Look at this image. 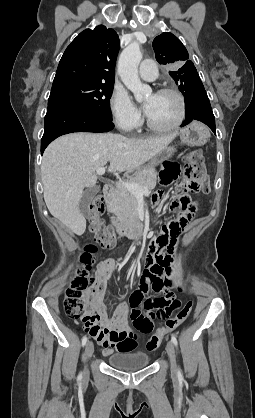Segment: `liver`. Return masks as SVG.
Returning <instances> with one entry per match:
<instances>
[{"label":"liver","mask_w":255,"mask_h":418,"mask_svg":"<svg viewBox=\"0 0 255 418\" xmlns=\"http://www.w3.org/2000/svg\"><path fill=\"white\" fill-rule=\"evenodd\" d=\"M136 139L114 133H72L59 137L45 150L41 165L44 200L49 212L75 234L86 220L79 210L85 188L97 182L96 171L108 162V172L131 173L163 151L176 137Z\"/></svg>","instance_id":"1"}]
</instances>
